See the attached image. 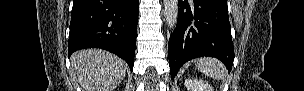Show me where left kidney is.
Listing matches in <instances>:
<instances>
[{
  "label": "left kidney",
  "instance_id": "5707ae66",
  "mask_svg": "<svg viewBox=\"0 0 304 91\" xmlns=\"http://www.w3.org/2000/svg\"><path fill=\"white\" fill-rule=\"evenodd\" d=\"M185 86L188 91H213V87L202 81L198 80L196 78H188L185 80Z\"/></svg>",
  "mask_w": 304,
  "mask_h": 91
}]
</instances>
